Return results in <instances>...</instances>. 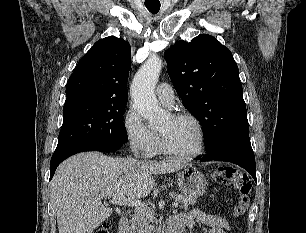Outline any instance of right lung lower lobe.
<instances>
[{
  "mask_svg": "<svg viewBox=\"0 0 306 233\" xmlns=\"http://www.w3.org/2000/svg\"><path fill=\"white\" fill-rule=\"evenodd\" d=\"M122 142H82L55 152L50 163V179L53 177L57 166L69 156L83 151L112 152L122 147Z\"/></svg>",
  "mask_w": 306,
  "mask_h": 233,
  "instance_id": "right-lung-lower-lobe-1",
  "label": "right lung lower lobe"
}]
</instances>
